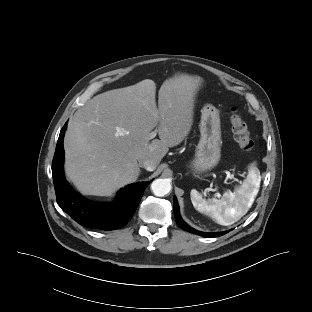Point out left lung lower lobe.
<instances>
[{
	"mask_svg": "<svg viewBox=\"0 0 312 312\" xmlns=\"http://www.w3.org/2000/svg\"><path fill=\"white\" fill-rule=\"evenodd\" d=\"M174 205H173V209H174V215H175V220L177 222V224L179 225L180 228L188 231V232H191V233H195L197 235H200V236H203V237H217V236H221V235H224L226 234L228 231H225V232H219V233H204V232H200V231H197L193 228H191L189 225H187L181 218L180 216V213H179V206H178V202L176 200V198L174 197Z\"/></svg>",
	"mask_w": 312,
	"mask_h": 312,
	"instance_id": "1",
	"label": "left lung lower lobe"
}]
</instances>
